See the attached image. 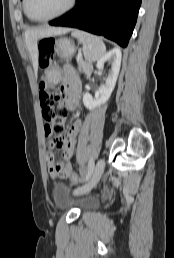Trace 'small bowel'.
Instances as JSON below:
<instances>
[{
	"label": "small bowel",
	"mask_w": 174,
	"mask_h": 258,
	"mask_svg": "<svg viewBox=\"0 0 174 258\" xmlns=\"http://www.w3.org/2000/svg\"><path fill=\"white\" fill-rule=\"evenodd\" d=\"M66 84L68 86L67 105L70 109L73 110L77 106L76 94L80 88V82L70 67H66ZM80 128L81 122L77 120L68 128L66 137L64 139H56L54 142V146L56 148L63 149V153L66 159H70L74 155L76 145L74 135L79 131ZM44 134L47 138L51 137V132L47 125L44 126ZM46 161L48 169L52 175L66 176L70 179V173L73 172L71 163H56L52 145H50L46 151Z\"/></svg>",
	"instance_id": "c3829d8e"
}]
</instances>
